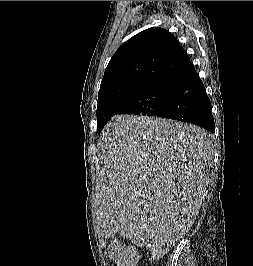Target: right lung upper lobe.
Returning a JSON list of instances; mask_svg holds the SVG:
<instances>
[{
  "label": "right lung upper lobe",
  "mask_w": 253,
  "mask_h": 266,
  "mask_svg": "<svg viewBox=\"0 0 253 266\" xmlns=\"http://www.w3.org/2000/svg\"><path fill=\"white\" fill-rule=\"evenodd\" d=\"M191 68L174 35L161 28L146 29L122 44L111 58L98 104L152 83H172Z\"/></svg>",
  "instance_id": "right-lung-upper-lobe-1"
}]
</instances>
